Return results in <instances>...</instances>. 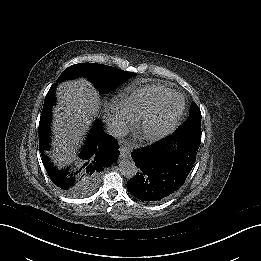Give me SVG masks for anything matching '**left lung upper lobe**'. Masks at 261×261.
Wrapping results in <instances>:
<instances>
[{
  "label": "left lung upper lobe",
  "mask_w": 261,
  "mask_h": 261,
  "mask_svg": "<svg viewBox=\"0 0 261 261\" xmlns=\"http://www.w3.org/2000/svg\"><path fill=\"white\" fill-rule=\"evenodd\" d=\"M201 112L198 106L192 102L189 117L185 123L176 131L177 134L192 138L196 142H201Z\"/></svg>",
  "instance_id": "obj_1"
}]
</instances>
